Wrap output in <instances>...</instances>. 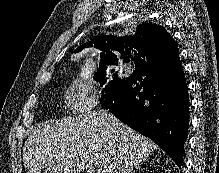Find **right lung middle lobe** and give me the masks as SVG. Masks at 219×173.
<instances>
[{
	"mask_svg": "<svg viewBox=\"0 0 219 173\" xmlns=\"http://www.w3.org/2000/svg\"><path fill=\"white\" fill-rule=\"evenodd\" d=\"M136 69L137 66H135V70ZM135 70L130 74L124 69L123 65H120L107 66L100 71L95 80L100 82L101 86H103L100 99L103 108L113 99L117 90L128 81V79L134 74Z\"/></svg>",
	"mask_w": 219,
	"mask_h": 173,
	"instance_id": "obj_1",
	"label": "right lung middle lobe"
}]
</instances>
